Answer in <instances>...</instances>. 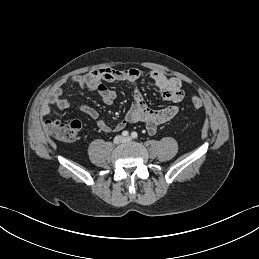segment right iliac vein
<instances>
[{
    "label": "right iliac vein",
    "mask_w": 259,
    "mask_h": 259,
    "mask_svg": "<svg viewBox=\"0 0 259 259\" xmlns=\"http://www.w3.org/2000/svg\"><path fill=\"white\" fill-rule=\"evenodd\" d=\"M122 142H124V139H123L122 136H116V137L114 138V143H115V144H120V143H122Z\"/></svg>",
    "instance_id": "1"
}]
</instances>
